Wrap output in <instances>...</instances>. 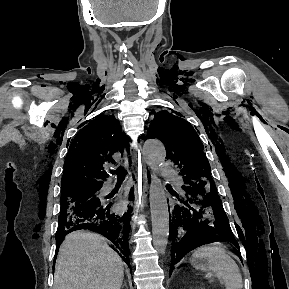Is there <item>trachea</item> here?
<instances>
[{"label": "trachea", "instance_id": "obj_1", "mask_svg": "<svg viewBox=\"0 0 289 289\" xmlns=\"http://www.w3.org/2000/svg\"><path fill=\"white\" fill-rule=\"evenodd\" d=\"M111 174H116L117 175V180L118 181H123L125 179V176L127 174V171L124 167H119L115 171H110Z\"/></svg>", "mask_w": 289, "mask_h": 289}]
</instances>
